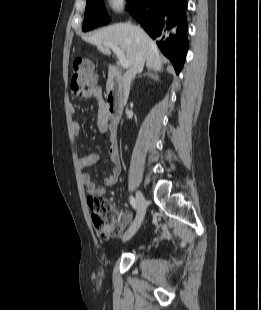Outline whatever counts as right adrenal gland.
<instances>
[{
	"label": "right adrenal gland",
	"mask_w": 261,
	"mask_h": 310,
	"mask_svg": "<svg viewBox=\"0 0 261 310\" xmlns=\"http://www.w3.org/2000/svg\"><path fill=\"white\" fill-rule=\"evenodd\" d=\"M142 76V71L139 72V76L138 77H141ZM143 76H147L151 79H154V80H158V75L155 71H153L152 69L148 68L147 69V72H145L143 74Z\"/></svg>",
	"instance_id": "right-adrenal-gland-1"
}]
</instances>
